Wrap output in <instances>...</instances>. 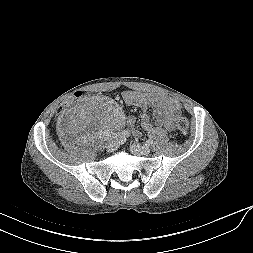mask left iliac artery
Instances as JSON below:
<instances>
[{
    "mask_svg": "<svg viewBox=\"0 0 253 253\" xmlns=\"http://www.w3.org/2000/svg\"><path fill=\"white\" fill-rule=\"evenodd\" d=\"M147 145H152L153 141L151 139L146 141Z\"/></svg>",
    "mask_w": 253,
    "mask_h": 253,
    "instance_id": "44dca946",
    "label": "left iliac artery"
}]
</instances>
